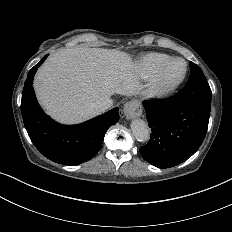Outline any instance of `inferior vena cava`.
<instances>
[{
    "instance_id": "602c4592",
    "label": "inferior vena cava",
    "mask_w": 232,
    "mask_h": 232,
    "mask_svg": "<svg viewBox=\"0 0 232 232\" xmlns=\"http://www.w3.org/2000/svg\"><path fill=\"white\" fill-rule=\"evenodd\" d=\"M113 105V99L112 98H106L100 101L98 104H96L95 108L100 111H105L108 108H110Z\"/></svg>"
}]
</instances>
